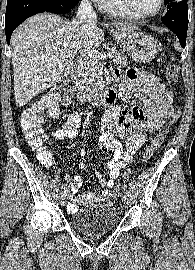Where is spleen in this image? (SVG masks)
Instances as JSON below:
<instances>
[{
    "label": "spleen",
    "mask_w": 195,
    "mask_h": 270,
    "mask_svg": "<svg viewBox=\"0 0 195 270\" xmlns=\"http://www.w3.org/2000/svg\"><path fill=\"white\" fill-rule=\"evenodd\" d=\"M171 60H172V61H174V60H175V58H174V57H172V58H171Z\"/></svg>",
    "instance_id": "1"
}]
</instances>
